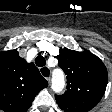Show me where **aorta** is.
I'll list each match as a JSON object with an SVG mask.
<instances>
[{
  "label": "aorta",
  "mask_w": 112,
  "mask_h": 112,
  "mask_svg": "<svg viewBox=\"0 0 112 112\" xmlns=\"http://www.w3.org/2000/svg\"><path fill=\"white\" fill-rule=\"evenodd\" d=\"M64 86L65 80L63 73L61 71H56L52 79V89L55 92H60L63 90Z\"/></svg>",
  "instance_id": "1"
}]
</instances>
